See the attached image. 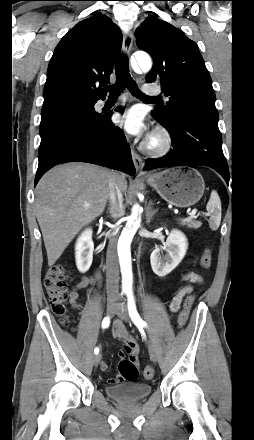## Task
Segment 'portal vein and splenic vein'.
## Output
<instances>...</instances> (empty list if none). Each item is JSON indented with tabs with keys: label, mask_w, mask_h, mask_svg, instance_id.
<instances>
[{
	"label": "portal vein and splenic vein",
	"mask_w": 254,
	"mask_h": 440,
	"mask_svg": "<svg viewBox=\"0 0 254 440\" xmlns=\"http://www.w3.org/2000/svg\"><path fill=\"white\" fill-rule=\"evenodd\" d=\"M86 206H89V205L86 204ZM196 212H197V210H196V209H193L192 212H191V214H190V216H189L188 218L180 219V221L185 222V221L192 220L193 218H196V217H197V216H196Z\"/></svg>",
	"instance_id": "18ae733b"
}]
</instances>
